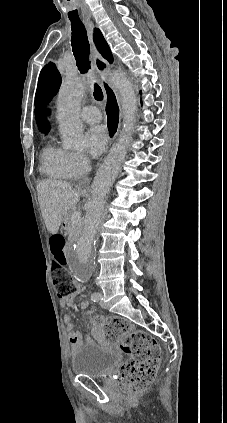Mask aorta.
Here are the masks:
<instances>
[{
	"label": "aorta",
	"mask_w": 227,
	"mask_h": 423,
	"mask_svg": "<svg viewBox=\"0 0 227 423\" xmlns=\"http://www.w3.org/2000/svg\"><path fill=\"white\" fill-rule=\"evenodd\" d=\"M111 81L121 96L124 114L123 133L118 142L110 149L94 177L91 206L83 233L79 240L71 246L67 256L70 272L81 282L86 281L93 272L95 265L94 241L102 221L105 199L125 159L136 121L137 98L133 83L121 72H113ZM84 92V79L78 76H68L59 91L57 119L64 146L69 149L78 150L84 146L83 124L79 119L80 102Z\"/></svg>",
	"instance_id": "762f6f07"
}]
</instances>
